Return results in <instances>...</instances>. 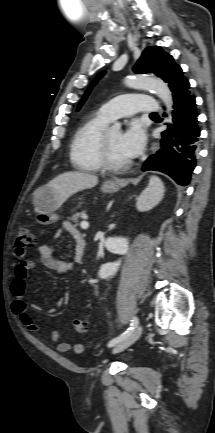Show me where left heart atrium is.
I'll list each match as a JSON object with an SVG mask.
<instances>
[{
    "label": "left heart atrium",
    "mask_w": 215,
    "mask_h": 433,
    "mask_svg": "<svg viewBox=\"0 0 215 433\" xmlns=\"http://www.w3.org/2000/svg\"><path fill=\"white\" fill-rule=\"evenodd\" d=\"M145 132L138 122L131 123L121 134L120 147L128 158H134L142 151L145 144Z\"/></svg>",
    "instance_id": "left-heart-atrium-1"
}]
</instances>
